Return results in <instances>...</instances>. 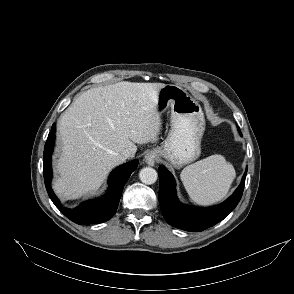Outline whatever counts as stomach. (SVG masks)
Wrapping results in <instances>:
<instances>
[{"instance_id":"stomach-1","label":"stomach","mask_w":294,"mask_h":294,"mask_svg":"<svg viewBox=\"0 0 294 294\" xmlns=\"http://www.w3.org/2000/svg\"><path fill=\"white\" fill-rule=\"evenodd\" d=\"M156 105L159 113L170 109L171 129L163 145L154 151L175 167L197 159L205 130L200 104L183 88L167 84L158 91Z\"/></svg>"}]
</instances>
